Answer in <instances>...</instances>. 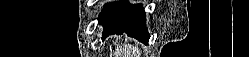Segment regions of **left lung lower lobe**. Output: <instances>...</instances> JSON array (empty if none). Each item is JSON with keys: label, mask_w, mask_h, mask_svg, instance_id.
<instances>
[{"label": "left lung lower lobe", "mask_w": 249, "mask_h": 57, "mask_svg": "<svg viewBox=\"0 0 249 57\" xmlns=\"http://www.w3.org/2000/svg\"><path fill=\"white\" fill-rule=\"evenodd\" d=\"M104 30L102 39L110 34L127 33L128 36L148 44L150 35L146 29L145 12L141 4L130 5L120 0L106 5L98 18Z\"/></svg>", "instance_id": "obj_1"}]
</instances>
